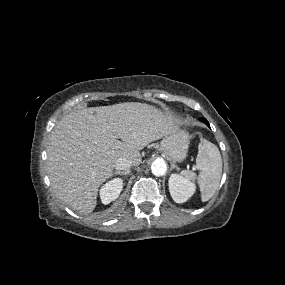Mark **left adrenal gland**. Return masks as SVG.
I'll return each instance as SVG.
<instances>
[{"label": "left adrenal gland", "instance_id": "a2214340", "mask_svg": "<svg viewBox=\"0 0 285 285\" xmlns=\"http://www.w3.org/2000/svg\"><path fill=\"white\" fill-rule=\"evenodd\" d=\"M177 169V170H179V168H178V166L177 165H175V163L173 162V163H171V169Z\"/></svg>", "mask_w": 285, "mask_h": 285}]
</instances>
